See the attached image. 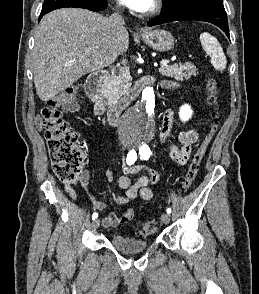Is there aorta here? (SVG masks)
<instances>
[{"label": "aorta", "mask_w": 259, "mask_h": 294, "mask_svg": "<svg viewBox=\"0 0 259 294\" xmlns=\"http://www.w3.org/2000/svg\"><path fill=\"white\" fill-rule=\"evenodd\" d=\"M155 94L152 87L142 91L139 103L129 109L121 119V132L135 142H149L153 138Z\"/></svg>", "instance_id": "762f6f07"}]
</instances>
